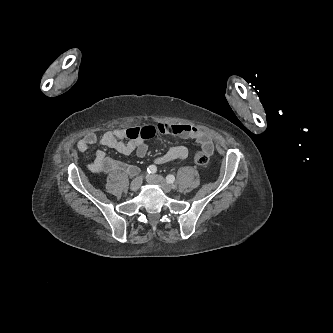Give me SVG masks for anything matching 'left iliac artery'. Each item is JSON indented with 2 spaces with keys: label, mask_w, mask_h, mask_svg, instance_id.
Instances as JSON below:
<instances>
[{
  "label": "left iliac artery",
  "mask_w": 333,
  "mask_h": 333,
  "mask_svg": "<svg viewBox=\"0 0 333 333\" xmlns=\"http://www.w3.org/2000/svg\"><path fill=\"white\" fill-rule=\"evenodd\" d=\"M166 180L168 183H173L175 181V176L174 175H168L166 177Z\"/></svg>",
  "instance_id": "44dca946"
}]
</instances>
